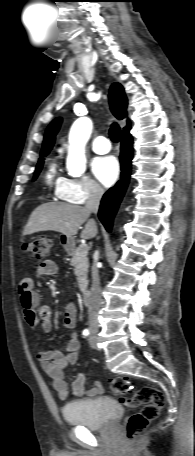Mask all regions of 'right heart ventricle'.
Returning <instances> with one entry per match:
<instances>
[{
    "label": "right heart ventricle",
    "mask_w": 195,
    "mask_h": 456,
    "mask_svg": "<svg viewBox=\"0 0 195 456\" xmlns=\"http://www.w3.org/2000/svg\"><path fill=\"white\" fill-rule=\"evenodd\" d=\"M65 178L59 175L57 171V165L55 162H52L46 173H45V182L49 188L53 189L55 194L59 197V190L64 182Z\"/></svg>",
    "instance_id": "e07e8e85"
}]
</instances>
